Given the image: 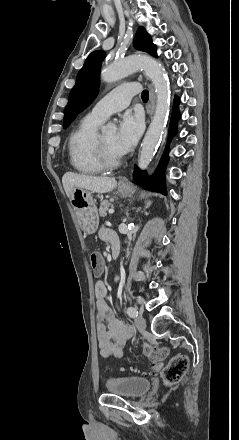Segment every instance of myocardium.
I'll list each match as a JSON object with an SVG mask.
<instances>
[{
    "label": "myocardium",
    "mask_w": 239,
    "mask_h": 440,
    "mask_svg": "<svg viewBox=\"0 0 239 440\" xmlns=\"http://www.w3.org/2000/svg\"><path fill=\"white\" fill-rule=\"evenodd\" d=\"M95 156L103 169L111 170L118 167L122 156L111 154L103 144L101 134H97L94 141Z\"/></svg>",
    "instance_id": "1"
}]
</instances>
